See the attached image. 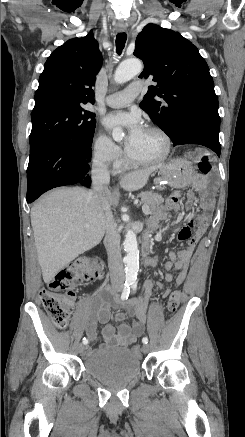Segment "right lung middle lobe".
I'll use <instances>...</instances> for the list:
<instances>
[{
    "label": "right lung middle lobe",
    "mask_w": 245,
    "mask_h": 437,
    "mask_svg": "<svg viewBox=\"0 0 245 437\" xmlns=\"http://www.w3.org/2000/svg\"><path fill=\"white\" fill-rule=\"evenodd\" d=\"M30 149L54 139L69 147L89 146L95 131V114L82 105L50 102L35 106L32 113Z\"/></svg>",
    "instance_id": "1"
}]
</instances>
